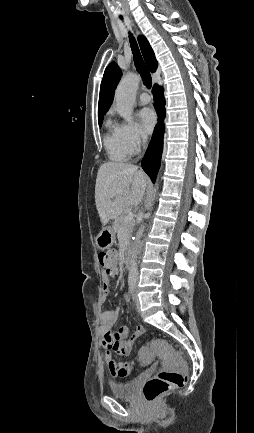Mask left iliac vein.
<instances>
[{"instance_id": "obj_1", "label": "left iliac vein", "mask_w": 254, "mask_h": 433, "mask_svg": "<svg viewBox=\"0 0 254 433\" xmlns=\"http://www.w3.org/2000/svg\"><path fill=\"white\" fill-rule=\"evenodd\" d=\"M133 299H134V302H135V304L137 306V309L139 310V299H138V296H137L136 293H134Z\"/></svg>"}]
</instances>
